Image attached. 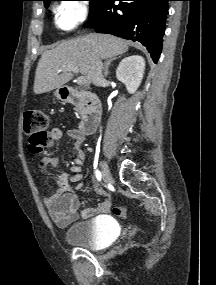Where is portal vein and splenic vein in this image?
<instances>
[{"mask_svg":"<svg viewBox=\"0 0 216 285\" xmlns=\"http://www.w3.org/2000/svg\"><path fill=\"white\" fill-rule=\"evenodd\" d=\"M63 71H72V72H74V73H78V72H79V69H78L77 66H69V67L60 69V70L58 71V73L63 72ZM77 83H78V85H83V84H85V83H86L85 77H84V76H79V77L77 78Z\"/></svg>","mask_w":216,"mask_h":285,"instance_id":"1","label":"portal vein and splenic vein"}]
</instances>
